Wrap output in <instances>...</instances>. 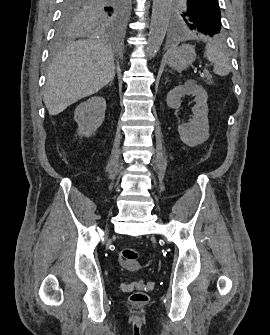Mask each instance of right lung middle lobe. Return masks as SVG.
Masks as SVG:
<instances>
[{
	"label": "right lung middle lobe",
	"mask_w": 270,
	"mask_h": 335,
	"mask_svg": "<svg viewBox=\"0 0 270 335\" xmlns=\"http://www.w3.org/2000/svg\"><path fill=\"white\" fill-rule=\"evenodd\" d=\"M126 11V0H63L56 43H62L77 32L121 28Z\"/></svg>",
	"instance_id": "right-lung-middle-lobe-1"
}]
</instances>
